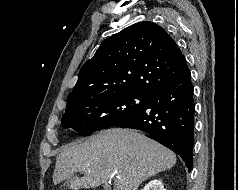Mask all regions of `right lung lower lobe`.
<instances>
[{"label":"right lung lower lobe","instance_id":"1","mask_svg":"<svg viewBox=\"0 0 238 190\" xmlns=\"http://www.w3.org/2000/svg\"><path fill=\"white\" fill-rule=\"evenodd\" d=\"M193 85L187 68L173 81L155 91L146 105L114 126L145 131L173 150L192 170L194 145Z\"/></svg>","mask_w":238,"mask_h":190}]
</instances>
